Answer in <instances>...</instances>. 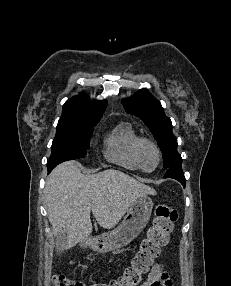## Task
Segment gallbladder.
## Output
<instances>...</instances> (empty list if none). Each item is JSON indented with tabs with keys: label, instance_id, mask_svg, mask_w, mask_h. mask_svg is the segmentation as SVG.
<instances>
[{
	"label": "gallbladder",
	"instance_id": "bac80fb5",
	"mask_svg": "<svg viewBox=\"0 0 231 286\" xmlns=\"http://www.w3.org/2000/svg\"><path fill=\"white\" fill-rule=\"evenodd\" d=\"M61 228H62L61 233L65 234L66 233L65 229L67 228V225L65 223H62ZM65 242L66 241L64 239H59V240H56V245H63V243H65ZM54 247H55V249H62L61 246H54ZM56 251H63V250H56Z\"/></svg>",
	"mask_w": 231,
	"mask_h": 286
}]
</instances>
